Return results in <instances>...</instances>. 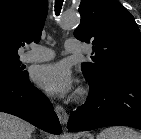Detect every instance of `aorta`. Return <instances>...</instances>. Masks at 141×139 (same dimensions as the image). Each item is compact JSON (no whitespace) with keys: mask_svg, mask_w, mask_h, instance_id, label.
<instances>
[{"mask_svg":"<svg viewBox=\"0 0 141 139\" xmlns=\"http://www.w3.org/2000/svg\"><path fill=\"white\" fill-rule=\"evenodd\" d=\"M80 22V16L77 12H65L60 20V26L63 29H72Z\"/></svg>","mask_w":141,"mask_h":139,"instance_id":"1","label":"aorta"}]
</instances>
